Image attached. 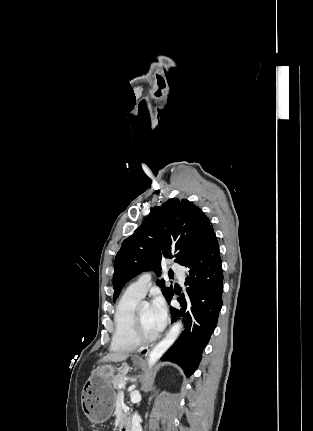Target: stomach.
<instances>
[{
  "instance_id": "0dacf381",
  "label": "stomach",
  "mask_w": 313,
  "mask_h": 431,
  "mask_svg": "<svg viewBox=\"0 0 313 431\" xmlns=\"http://www.w3.org/2000/svg\"><path fill=\"white\" fill-rule=\"evenodd\" d=\"M134 364L140 366L141 362L134 360ZM115 373L116 368L112 365H102L83 386L82 409L94 424L105 422L113 412L116 393L111 382Z\"/></svg>"
}]
</instances>
